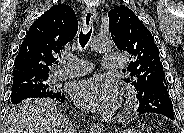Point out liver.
<instances>
[{"mask_svg":"<svg viewBox=\"0 0 184 133\" xmlns=\"http://www.w3.org/2000/svg\"><path fill=\"white\" fill-rule=\"evenodd\" d=\"M4 133H70L68 121L49 99L26 100L5 118Z\"/></svg>","mask_w":184,"mask_h":133,"instance_id":"1","label":"liver"}]
</instances>
